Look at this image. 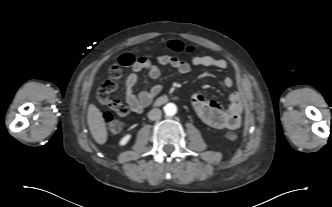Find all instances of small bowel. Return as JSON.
<instances>
[{
    "instance_id": "obj_1",
    "label": "small bowel",
    "mask_w": 332,
    "mask_h": 207,
    "mask_svg": "<svg viewBox=\"0 0 332 207\" xmlns=\"http://www.w3.org/2000/svg\"><path fill=\"white\" fill-rule=\"evenodd\" d=\"M157 62L161 65L172 67L181 74H188L193 65L215 67L221 70H225L229 66L226 60L217 59L209 55L195 56L190 61H184L170 55H159L157 56ZM141 71H145L151 79H158L161 75V70L157 65L146 58H138L132 66V72L126 79L125 97L127 106L125 105L124 113L118 115L123 116L129 112L135 114L141 113L161 92V85L154 84L149 89L135 94L138 73ZM224 84L227 87H231L234 84V80L231 77H226ZM193 104L202 122L210 127L233 130L241 126L243 101L242 95L239 92L231 94L230 105L227 109H223L216 102L206 100L200 92L193 95Z\"/></svg>"
}]
</instances>
